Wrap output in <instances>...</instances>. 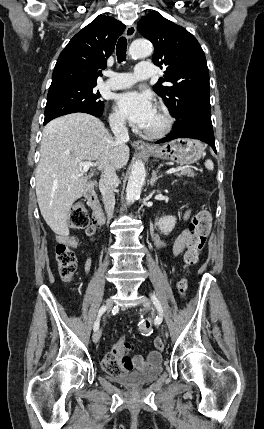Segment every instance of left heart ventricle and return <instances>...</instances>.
Listing matches in <instances>:
<instances>
[{"mask_svg": "<svg viewBox=\"0 0 264 429\" xmlns=\"http://www.w3.org/2000/svg\"><path fill=\"white\" fill-rule=\"evenodd\" d=\"M162 122H163L162 118L156 112L154 114V116L152 117V119L149 121V123L146 125V127L144 129H147V130H156V129H158V128L161 127Z\"/></svg>", "mask_w": 264, "mask_h": 429, "instance_id": "left-heart-ventricle-1", "label": "left heart ventricle"}]
</instances>
